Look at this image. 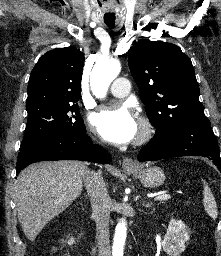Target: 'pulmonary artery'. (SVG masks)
<instances>
[{
    "instance_id": "obj_1",
    "label": "pulmonary artery",
    "mask_w": 221,
    "mask_h": 256,
    "mask_svg": "<svg viewBox=\"0 0 221 256\" xmlns=\"http://www.w3.org/2000/svg\"><path fill=\"white\" fill-rule=\"evenodd\" d=\"M130 90L129 81L126 78H117L110 87V93L114 97L122 98L128 95Z\"/></svg>"
}]
</instances>
